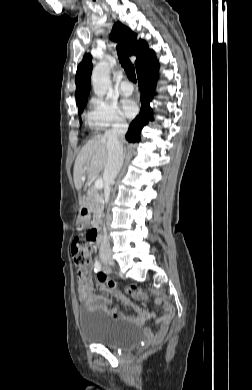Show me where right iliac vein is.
<instances>
[{
	"label": "right iliac vein",
	"mask_w": 252,
	"mask_h": 390,
	"mask_svg": "<svg viewBox=\"0 0 252 390\" xmlns=\"http://www.w3.org/2000/svg\"><path fill=\"white\" fill-rule=\"evenodd\" d=\"M101 259H102L103 262H105L107 264H110V265L114 264L112 259H111V257H109V256H102Z\"/></svg>",
	"instance_id": "1"
}]
</instances>
